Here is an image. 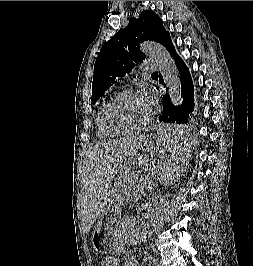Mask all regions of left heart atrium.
<instances>
[{
	"label": "left heart atrium",
	"mask_w": 253,
	"mask_h": 266,
	"mask_svg": "<svg viewBox=\"0 0 253 266\" xmlns=\"http://www.w3.org/2000/svg\"><path fill=\"white\" fill-rule=\"evenodd\" d=\"M143 98L148 106L149 112H151L156 104L155 96L152 93L147 92L143 95Z\"/></svg>",
	"instance_id": "39dd6f15"
}]
</instances>
